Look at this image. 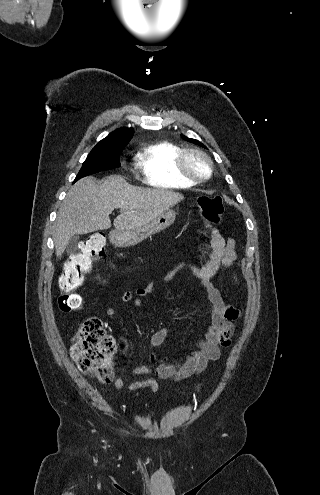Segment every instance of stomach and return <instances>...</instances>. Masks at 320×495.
<instances>
[{
    "instance_id": "0dacf381",
    "label": "stomach",
    "mask_w": 320,
    "mask_h": 495,
    "mask_svg": "<svg viewBox=\"0 0 320 495\" xmlns=\"http://www.w3.org/2000/svg\"><path fill=\"white\" fill-rule=\"evenodd\" d=\"M175 218L176 212L172 209H167L158 217L141 227L124 231H112L109 238L111 243L118 247L134 246L147 237L168 228L174 222Z\"/></svg>"
}]
</instances>
